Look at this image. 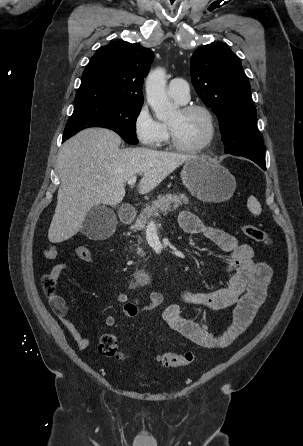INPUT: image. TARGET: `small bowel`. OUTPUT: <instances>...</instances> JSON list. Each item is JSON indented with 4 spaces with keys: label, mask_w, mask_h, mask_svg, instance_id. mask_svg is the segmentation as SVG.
Masks as SVG:
<instances>
[{
    "label": "small bowel",
    "mask_w": 303,
    "mask_h": 446,
    "mask_svg": "<svg viewBox=\"0 0 303 446\" xmlns=\"http://www.w3.org/2000/svg\"><path fill=\"white\" fill-rule=\"evenodd\" d=\"M179 225L189 235L205 237L214 242L230 256L227 266L230 276L225 287L210 292L182 290L179 294L180 302L211 311L233 307V320L225 332L215 334L210 332L206 325L188 317L181 303L169 305L164 310L163 317L171 329L194 343L206 348L227 347L248 328L257 310L264 303L272 269L267 263L255 260L250 245L240 243L235 236L222 229L203 223L191 212L180 213ZM43 254L46 259L52 260L56 258L57 250L54 246H49ZM65 269L66 264H57L52 268L50 275L56 285ZM115 299L122 304L123 317L133 319L156 309L162 304L164 297L160 292L150 290L149 303L146 305H141L138 300L125 293L117 294ZM51 306L77 346L86 349L89 340L68 318L69 311L65 301L57 296L56 300L51 301ZM115 323L114 316L108 315L103 319L105 327H112Z\"/></svg>",
    "instance_id": "1"
}]
</instances>
